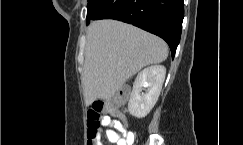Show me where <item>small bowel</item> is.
I'll return each instance as SVG.
<instances>
[{
    "mask_svg": "<svg viewBox=\"0 0 243 145\" xmlns=\"http://www.w3.org/2000/svg\"><path fill=\"white\" fill-rule=\"evenodd\" d=\"M118 117L123 118V115L119 114ZM102 126L106 130L105 134L98 131L95 137V145H103L102 138L104 136H106L109 142L114 143L116 145L134 144L135 142L134 132L124 130V127L119 120H113L109 116H105L102 119Z\"/></svg>",
    "mask_w": 243,
    "mask_h": 145,
    "instance_id": "c3829d8e",
    "label": "small bowel"
}]
</instances>
